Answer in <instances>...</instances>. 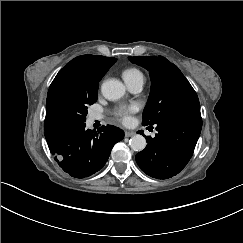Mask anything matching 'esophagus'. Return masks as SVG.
I'll list each match as a JSON object with an SVG mask.
<instances>
[{"label": "esophagus", "mask_w": 243, "mask_h": 243, "mask_svg": "<svg viewBox=\"0 0 243 243\" xmlns=\"http://www.w3.org/2000/svg\"><path fill=\"white\" fill-rule=\"evenodd\" d=\"M135 135V132H132V131H125V137H132Z\"/></svg>", "instance_id": "esophagus-1"}]
</instances>
